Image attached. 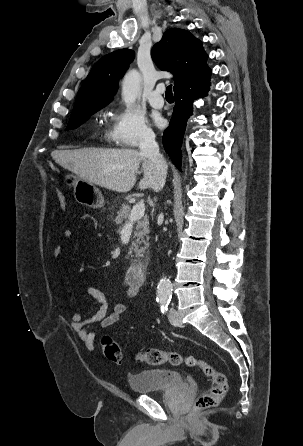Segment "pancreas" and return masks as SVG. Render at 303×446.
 <instances>
[{"instance_id":"cf45deb5","label":"pancreas","mask_w":303,"mask_h":446,"mask_svg":"<svg viewBox=\"0 0 303 446\" xmlns=\"http://www.w3.org/2000/svg\"><path fill=\"white\" fill-rule=\"evenodd\" d=\"M131 214V208L128 204H123L119 211L117 212V216L115 217V222L117 225L122 226L124 222H128L129 216ZM149 234V221L147 217L143 220H138L136 222V230L134 231V240L131 243V247L129 248L128 254L135 257H142L143 253L147 249L148 246V237ZM144 244L145 246H140Z\"/></svg>"}]
</instances>
